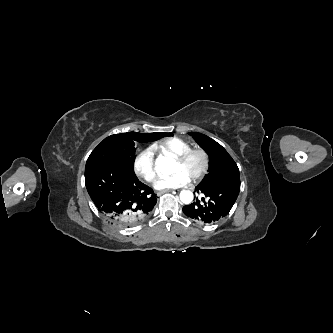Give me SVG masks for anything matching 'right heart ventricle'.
<instances>
[{
    "label": "right heart ventricle",
    "instance_id": "right-heart-ventricle-1",
    "mask_svg": "<svg viewBox=\"0 0 333 333\" xmlns=\"http://www.w3.org/2000/svg\"><path fill=\"white\" fill-rule=\"evenodd\" d=\"M154 150L174 158L191 149V145L177 137L160 140L152 145Z\"/></svg>",
    "mask_w": 333,
    "mask_h": 333
}]
</instances>
